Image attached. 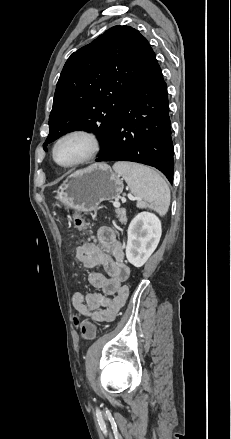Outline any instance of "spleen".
I'll use <instances>...</instances> for the list:
<instances>
[{
    "label": "spleen",
    "mask_w": 231,
    "mask_h": 439,
    "mask_svg": "<svg viewBox=\"0 0 231 439\" xmlns=\"http://www.w3.org/2000/svg\"><path fill=\"white\" fill-rule=\"evenodd\" d=\"M113 169L123 177L131 192L137 197V207L150 208L160 216L167 213L170 189L156 171L130 162L115 163Z\"/></svg>",
    "instance_id": "1"
}]
</instances>
